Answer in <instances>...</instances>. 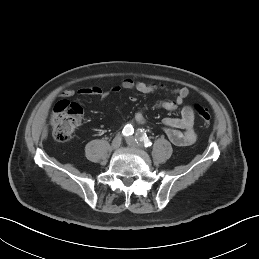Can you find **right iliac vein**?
I'll return each instance as SVG.
<instances>
[{"mask_svg": "<svg viewBox=\"0 0 259 259\" xmlns=\"http://www.w3.org/2000/svg\"><path fill=\"white\" fill-rule=\"evenodd\" d=\"M122 143V137L120 135H117L113 140H112V143H111V148L112 149H118L120 147Z\"/></svg>", "mask_w": 259, "mask_h": 259, "instance_id": "obj_1", "label": "right iliac vein"}]
</instances>
